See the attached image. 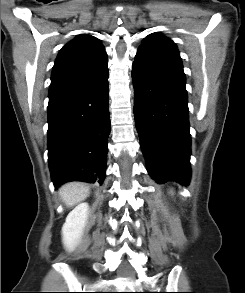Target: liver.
<instances>
[{"label": "liver", "mask_w": 245, "mask_h": 293, "mask_svg": "<svg viewBox=\"0 0 245 293\" xmlns=\"http://www.w3.org/2000/svg\"><path fill=\"white\" fill-rule=\"evenodd\" d=\"M59 194L67 207H73L89 196V187L84 183L70 182L59 189Z\"/></svg>", "instance_id": "obj_1"}]
</instances>
